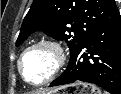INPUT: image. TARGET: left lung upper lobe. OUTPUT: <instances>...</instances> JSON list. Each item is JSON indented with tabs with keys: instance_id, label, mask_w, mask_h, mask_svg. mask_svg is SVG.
Wrapping results in <instances>:
<instances>
[{
	"instance_id": "left-lung-upper-lobe-1",
	"label": "left lung upper lobe",
	"mask_w": 121,
	"mask_h": 94,
	"mask_svg": "<svg viewBox=\"0 0 121 94\" xmlns=\"http://www.w3.org/2000/svg\"><path fill=\"white\" fill-rule=\"evenodd\" d=\"M118 15L114 0H34L16 46L41 30L57 40H65L72 54L98 28Z\"/></svg>"
}]
</instances>
